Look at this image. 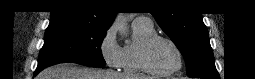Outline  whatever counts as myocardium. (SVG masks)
<instances>
[{"label":"myocardium","mask_w":255,"mask_h":79,"mask_svg":"<svg viewBox=\"0 0 255 79\" xmlns=\"http://www.w3.org/2000/svg\"><path fill=\"white\" fill-rule=\"evenodd\" d=\"M157 40H164L166 42H168L173 49L175 50L176 54H177V65L168 71H158L156 70L149 62V50L151 48V46L157 41ZM139 61L141 64L142 69L151 75H157V76H167V75H172L176 72H178L183 65V53L182 50L180 49V47L176 44V42L174 40H172L171 38L164 36V35H160V34H153L151 37H149L141 46L140 48V52H139Z\"/></svg>","instance_id":"myocardium-1"}]
</instances>
